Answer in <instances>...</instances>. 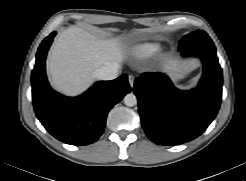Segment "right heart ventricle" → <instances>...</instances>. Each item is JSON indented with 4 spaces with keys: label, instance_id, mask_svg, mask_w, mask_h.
Wrapping results in <instances>:
<instances>
[{
    "label": "right heart ventricle",
    "instance_id": "obj_1",
    "mask_svg": "<svg viewBox=\"0 0 246 181\" xmlns=\"http://www.w3.org/2000/svg\"><path fill=\"white\" fill-rule=\"evenodd\" d=\"M159 50H160V44L145 43L137 46L134 49V53L138 58H149L157 54Z\"/></svg>",
    "mask_w": 246,
    "mask_h": 181
}]
</instances>
